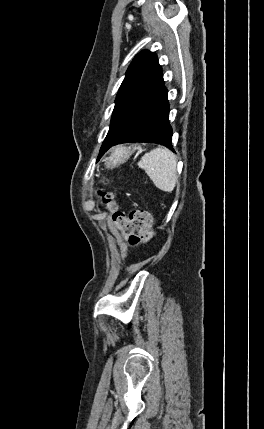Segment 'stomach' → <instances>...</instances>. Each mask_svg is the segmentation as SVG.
<instances>
[{
	"instance_id": "obj_1",
	"label": "stomach",
	"mask_w": 264,
	"mask_h": 429,
	"mask_svg": "<svg viewBox=\"0 0 264 429\" xmlns=\"http://www.w3.org/2000/svg\"><path fill=\"white\" fill-rule=\"evenodd\" d=\"M135 151L134 148L118 146L116 147L111 155L105 159V166L107 168H114L124 162H126L132 153Z\"/></svg>"
}]
</instances>
